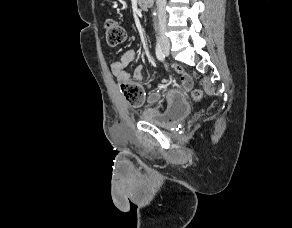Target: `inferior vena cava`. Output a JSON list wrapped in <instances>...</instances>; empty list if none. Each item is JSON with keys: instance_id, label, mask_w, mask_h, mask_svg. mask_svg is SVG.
Here are the masks:
<instances>
[{"instance_id": "obj_1", "label": "inferior vena cava", "mask_w": 292, "mask_h": 228, "mask_svg": "<svg viewBox=\"0 0 292 228\" xmlns=\"http://www.w3.org/2000/svg\"><path fill=\"white\" fill-rule=\"evenodd\" d=\"M166 0H157L159 37L161 42H168L166 37Z\"/></svg>"}]
</instances>
